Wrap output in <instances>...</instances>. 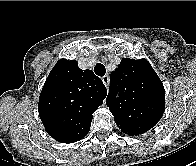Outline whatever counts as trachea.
Wrapping results in <instances>:
<instances>
[{
    "label": "trachea",
    "mask_w": 196,
    "mask_h": 166,
    "mask_svg": "<svg viewBox=\"0 0 196 166\" xmlns=\"http://www.w3.org/2000/svg\"><path fill=\"white\" fill-rule=\"evenodd\" d=\"M94 72L98 76H104L106 73L105 66L101 63H97L96 66L94 67Z\"/></svg>",
    "instance_id": "3493384b"
}]
</instances>
